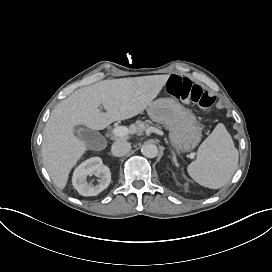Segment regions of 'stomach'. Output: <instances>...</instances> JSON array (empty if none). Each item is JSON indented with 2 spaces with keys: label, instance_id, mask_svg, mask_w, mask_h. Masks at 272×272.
<instances>
[{
  "label": "stomach",
  "instance_id": "1",
  "mask_svg": "<svg viewBox=\"0 0 272 272\" xmlns=\"http://www.w3.org/2000/svg\"><path fill=\"white\" fill-rule=\"evenodd\" d=\"M150 118L169 132L171 144L180 153L195 149L202 139V129L195 114L175 99L160 98L148 108Z\"/></svg>",
  "mask_w": 272,
  "mask_h": 272
}]
</instances>
